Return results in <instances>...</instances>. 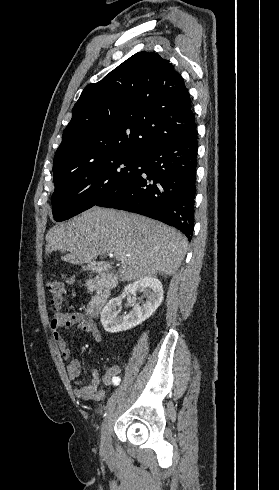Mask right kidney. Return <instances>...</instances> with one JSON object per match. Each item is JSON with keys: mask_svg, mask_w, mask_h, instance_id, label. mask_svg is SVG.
<instances>
[{"mask_svg": "<svg viewBox=\"0 0 279 490\" xmlns=\"http://www.w3.org/2000/svg\"><path fill=\"white\" fill-rule=\"evenodd\" d=\"M136 292H143L147 300L142 306H133L132 312L122 314V298H112L101 312V324L110 334L131 330L148 320L163 300V288L157 276H143L137 282L128 284L123 290V296H136ZM122 314V316H120Z\"/></svg>", "mask_w": 279, "mask_h": 490, "instance_id": "ca27d5eb", "label": "right kidney"}]
</instances>
